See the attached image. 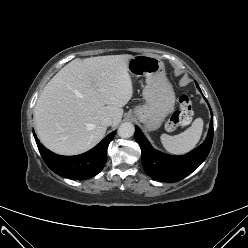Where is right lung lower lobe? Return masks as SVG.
<instances>
[{
    "instance_id": "1",
    "label": "right lung lower lobe",
    "mask_w": 248,
    "mask_h": 248,
    "mask_svg": "<svg viewBox=\"0 0 248 248\" xmlns=\"http://www.w3.org/2000/svg\"><path fill=\"white\" fill-rule=\"evenodd\" d=\"M114 136L115 131L86 153L76 156H62L46 149L34 133L36 144L47 166L55 173L75 180L88 179L103 169L107 159V147Z\"/></svg>"
}]
</instances>
